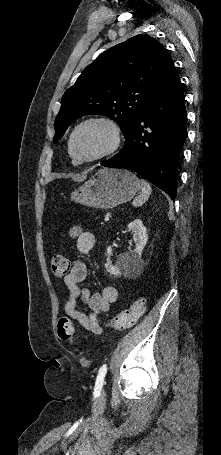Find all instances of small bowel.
I'll use <instances>...</instances> for the list:
<instances>
[{
	"mask_svg": "<svg viewBox=\"0 0 221 455\" xmlns=\"http://www.w3.org/2000/svg\"><path fill=\"white\" fill-rule=\"evenodd\" d=\"M71 236L80 253H89L95 245V236L91 232L75 228L72 230ZM87 275L86 264L81 260H74L69 274L64 277L66 286L64 313L89 332L101 334L103 329L99 316L110 310L111 304L117 300L118 292L114 286L110 285L103 287L101 292H92L89 288L81 286ZM79 301L87 305V312L77 308Z\"/></svg>",
	"mask_w": 221,
	"mask_h": 455,
	"instance_id": "small-bowel-1",
	"label": "small bowel"
}]
</instances>
